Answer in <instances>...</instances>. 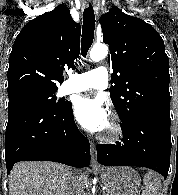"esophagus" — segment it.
<instances>
[{
  "label": "esophagus",
  "mask_w": 178,
  "mask_h": 195,
  "mask_svg": "<svg viewBox=\"0 0 178 195\" xmlns=\"http://www.w3.org/2000/svg\"><path fill=\"white\" fill-rule=\"evenodd\" d=\"M90 152H91V165L94 167L99 166V163L97 162L96 145L93 142L90 143Z\"/></svg>",
  "instance_id": "esophagus-1"
}]
</instances>
